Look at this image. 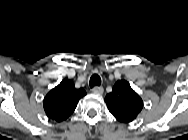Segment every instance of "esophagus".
Instances as JSON below:
<instances>
[{"mask_svg":"<svg viewBox=\"0 0 188 140\" xmlns=\"http://www.w3.org/2000/svg\"><path fill=\"white\" fill-rule=\"evenodd\" d=\"M92 92L95 94H102L104 92V89L101 86H95L93 87Z\"/></svg>","mask_w":188,"mask_h":140,"instance_id":"esophagus-1","label":"esophagus"}]
</instances>
